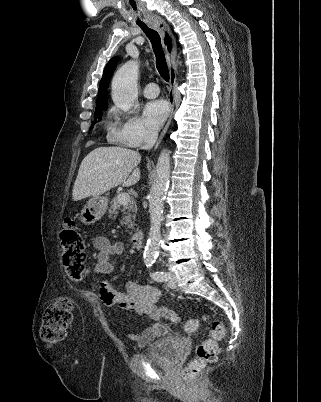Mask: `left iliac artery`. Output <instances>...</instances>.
Listing matches in <instances>:
<instances>
[{
  "mask_svg": "<svg viewBox=\"0 0 321 402\" xmlns=\"http://www.w3.org/2000/svg\"><path fill=\"white\" fill-rule=\"evenodd\" d=\"M150 276L153 280L157 282L167 281L170 278V275L168 273L158 271L150 273Z\"/></svg>",
  "mask_w": 321,
  "mask_h": 402,
  "instance_id": "44dca946",
  "label": "left iliac artery"
}]
</instances>
